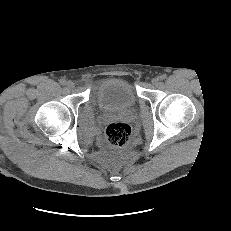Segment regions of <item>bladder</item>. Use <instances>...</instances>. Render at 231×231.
I'll return each mask as SVG.
<instances>
[{
	"mask_svg": "<svg viewBox=\"0 0 231 231\" xmlns=\"http://www.w3.org/2000/svg\"><path fill=\"white\" fill-rule=\"evenodd\" d=\"M94 95L99 107L106 111L128 109L137 102L133 85L121 77L103 79L97 85Z\"/></svg>",
	"mask_w": 231,
	"mask_h": 231,
	"instance_id": "31cf9c89",
	"label": "bladder"
}]
</instances>
